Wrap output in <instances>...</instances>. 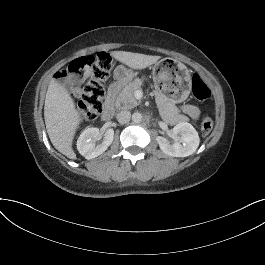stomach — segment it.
I'll use <instances>...</instances> for the list:
<instances>
[{"instance_id": "stomach-1", "label": "stomach", "mask_w": 265, "mask_h": 265, "mask_svg": "<svg viewBox=\"0 0 265 265\" xmlns=\"http://www.w3.org/2000/svg\"><path fill=\"white\" fill-rule=\"evenodd\" d=\"M132 71L118 66L114 71L115 79L126 83L132 79ZM153 81L157 92L165 95L174 104L185 101L191 91V73L181 62L164 58L153 67Z\"/></svg>"}]
</instances>
